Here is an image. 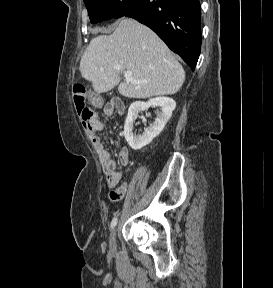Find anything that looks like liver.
<instances>
[{
	"label": "liver",
	"mask_w": 273,
	"mask_h": 288,
	"mask_svg": "<svg viewBox=\"0 0 273 288\" xmlns=\"http://www.w3.org/2000/svg\"><path fill=\"white\" fill-rule=\"evenodd\" d=\"M125 71H132L139 83H120ZM80 72L97 93L118 85L121 95L135 99L173 95L185 80L183 67L166 44L134 19H122L111 35L93 38L81 58Z\"/></svg>",
	"instance_id": "obj_1"
}]
</instances>
